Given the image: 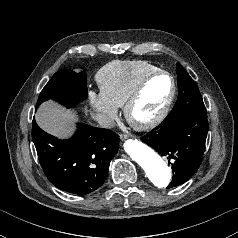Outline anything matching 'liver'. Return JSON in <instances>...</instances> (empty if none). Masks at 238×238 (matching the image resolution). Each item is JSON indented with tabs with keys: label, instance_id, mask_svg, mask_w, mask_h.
<instances>
[{
	"label": "liver",
	"instance_id": "liver-1",
	"mask_svg": "<svg viewBox=\"0 0 238 238\" xmlns=\"http://www.w3.org/2000/svg\"><path fill=\"white\" fill-rule=\"evenodd\" d=\"M75 119L76 115L73 111L65 110L52 100L44 102L36 114L38 125L58 137H67L72 133Z\"/></svg>",
	"mask_w": 238,
	"mask_h": 238
}]
</instances>
